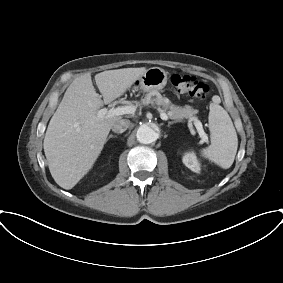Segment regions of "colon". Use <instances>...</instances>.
Masks as SVG:
<instances>
[{
	"label": "colon",
	"instance_id": "5ec220e1",
	"mask_svg": "<svg viewBox=\"0 0 283 283\" xmlns=\"http://www.w3.org/2000/svg\"><path fill=\"white\" fill-rule=\"evenodd\" d=\"M170 83L179 93L189 94L197 100L206 99L210 91L205 82L188 74L174 73L170 77Z\"/></svg>",
	"mask_w": 283,
	"mask_h": 283
}]
</instances>
